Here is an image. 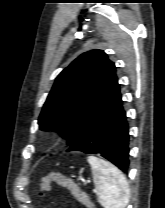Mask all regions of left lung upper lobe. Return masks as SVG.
Instances as JSON below:
<instances>
[{"instance_id":"obj_1","label":"left lung upper lobe","mask_w":165,"mask_h":208,"mask_svg":"<svg viewBox=\"0 0 165 208\" xmlns=\"http://www.w3.org/2000/svg\"><path fill=\"white\" fill-rule=\"evenodd\" d=\"M115 69L101 50L80 55L56 78L38 119L40 128L59 131L71 146L116 87Z\"/></svg>"}]
</instances>
